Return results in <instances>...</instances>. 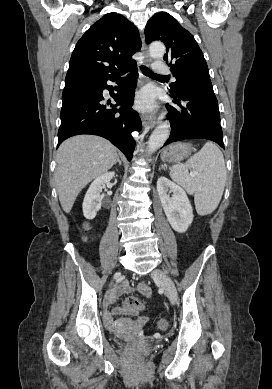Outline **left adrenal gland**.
<instances>
[{
	"label": "left adrenal gland",
	"instance_id": "1",
	"mask_svg": "<svg viewBox=\"0 0 272 389\" xmlns=\"http://www.w3.org/2000/svg\"><path fill=\"white\" fill-rule=\"evenodd\" d=\"M167 167H166V165H161V168L159 169V170H161V169H166Z\"/></svg>",
	"mask_w": 272,
	"mask_h": 389
}]
</instances>
